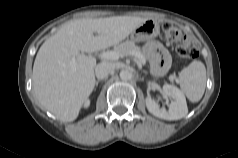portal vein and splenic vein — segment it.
I'll return each instance as SVG.
<instances>
[{"instance_id":"portal-vein-and-splenic-vein-1","label":"portal vein and splenic vein","mask_w":238,"mask_h":158,"mask_svg":"<svg viewBox=\"0 0 238 158\" xmlns=\"http://www.w3.org/2000/svg\"><path fill=\"white\" fill-rule=\"evenodd\" d=\"M129 55H132L138 59L139 67L141 68L142 65H145L146 61L143 56H141L139 53L136 52H129ZM121 57V55L116 51H107L100 54L101 59H107V60H118ZM75 58H72V65L75 67Z\"/></svg>"}]
</instances>
